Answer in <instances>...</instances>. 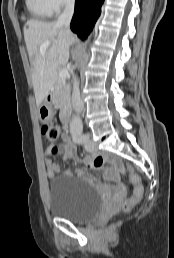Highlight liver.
<instances>
[{
    "instance_id": "obj_1",
    "label": "liver",
    "mask_w": 174,
    "mask_h": 258,
    "mask_svg": "<svg viewBox=\"0 0 174 258\" xmlns=\"http://www.w3.org/2000/svg\"><path fill=\"white\" fill-rule=\"evenodd\" d=\"M24 39L32 63L33 88L39 107L55 84L57 68L68 63L69 47L75 37L56 22L29 20L24 27ZM45 41L51 44L46 53L41 54L40 46Z\"/></svg>"
}]
</instances>
